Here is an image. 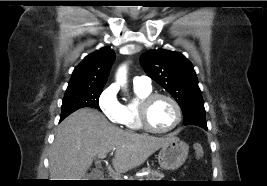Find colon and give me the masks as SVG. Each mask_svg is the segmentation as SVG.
Here are the masks:
<instances>
[{"label": "colon", "instance_id": "colon-1", "mask_svg": "<svg viewBox=\"0 0 267 186\" xmlns=\"http://www.w3.org/2000/svg\"><path fill=\"white\" fill-rule=\"evenodd\" d=\"M193 152L196 158H201L203 156V147L200 143L193 144Z\"/></svg>", "mask_w": 267, "mask_h": 186}]
</instances>
